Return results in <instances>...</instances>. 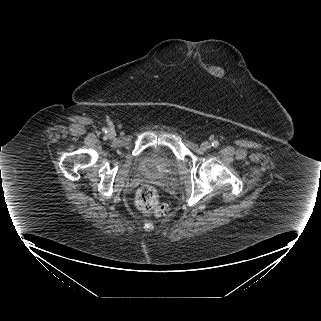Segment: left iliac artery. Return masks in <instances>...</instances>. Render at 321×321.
I'll list each match as a JSON object with an SVG mask.
<instances>
[{
    "instance_id": "left-iliac-artery-1",
    "label": "left iliac artery",
    "mask_w": 321,
    "mask_h": 321,
    "mask_svg": "<svg viewBox=\"0 0 321 321\" xmlns=\"http://www.w3.org/2000/svg\"><path fill=\"white\" fill-rule=\"evenodd\" d=\"M218 145H219V142L217 140H213L212 141V146L213 147H218Z\"/></svg>"
}]
</instances>
